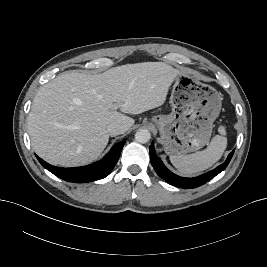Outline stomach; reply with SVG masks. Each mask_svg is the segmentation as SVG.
Listing matches in <instances>:
<instances>
[{"label": "stomach", "instance_id": "obj_1", "mask_svg": "<svg viewBox=\"0 0 267 267\" xmlns=\"http://www.w3.org/2000/svg\"><path fill=\"white\" fill-rule=\"evenodd\" d=\"M172 112L152 118L160 143L168 155H184L204 147L210 140L222 97L189 71H177L170 96Z\"/></svg>", "mask_w": 267, "mask_h": 267}]
</instances>
